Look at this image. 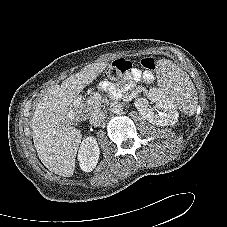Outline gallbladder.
<instances>
[{"mask_svg": "<svg viewBox=\"0 0 227 227\" xmlns=\"http://www.w3.org/2000/svg\"><path fill=\"white\" fill-rule=\"evenodd\" d=\"M63 124H64V125H68L67 122H64Z\"/></svg>", "mask_w": 227, "mask_h": 227, "instance_id": "bac80fb5", "label": "gallbladder"}]
</instances>
